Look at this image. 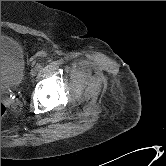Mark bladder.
Listing matches in <instances>:
<instances>
[{
	"instance_id": "obj_1",
	"label": "bladder",
	"mask_w": 166,
	"mask_h": 166,
	"mask_svg": "<svg viewBox=\"0 0 166 166\" xmlns=\"http://www.w3.org/2000/svg\"><path fill=\"white\" fill-rule=\"evenodd\" d=\"M24 73L25 58L20 43L9 36L1 35V88L17 86Z\"/></svg>"
}]
</instances>
